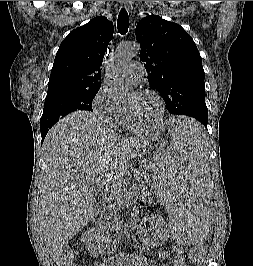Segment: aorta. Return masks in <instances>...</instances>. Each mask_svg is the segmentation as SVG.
Segmentation results:
<instances>
[{"mask_svg":"<svg viewBox=\"0 0 253 266\" xmlns=\"http://www.w3.org/2000/svg\"><path fill=\"white\" fill-rule=\"evenodd\" d=\"M140 51L138 43L122 44L117 47L115 57L109 68L107 84L115 96L119 98L128 97L132 92V87L119 76L120 68L130 62Z\"/></svg>","mask_w":253,"mask_h":266,"instance_id":"obj_1","label":"aorta"}]
</instances>
